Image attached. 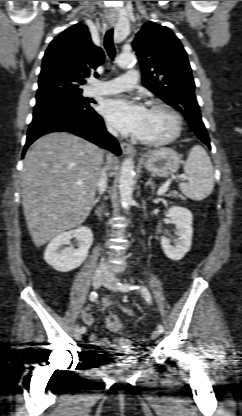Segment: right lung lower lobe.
Here are the masks:
<instances>
[{
    "instance_id": "98d812e1",
    "label": "right lung lower lobe",
    "mask_w": 242,
    "mask_h": 416,
    "mask_svg": "<svg viewBox=\"0 0 242 416\" xmlns=\"http://www.w3.org/2000/svg\"><path fill=\"white\" fill-rule=\"evenodd\" d=\"M91 103L94 102L87 101L84 105L61 100L36 103L23 155L37 138L51 132L62 131L76 134L120 155L118 142L107 132L102 117L94 111Z\"/></svg>"
}]
</instances>
